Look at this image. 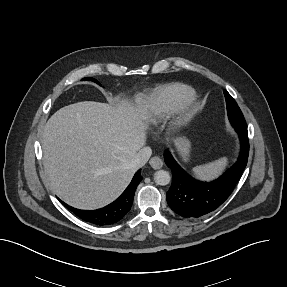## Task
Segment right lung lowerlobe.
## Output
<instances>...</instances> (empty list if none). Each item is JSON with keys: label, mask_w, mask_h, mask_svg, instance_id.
I'll list each match as a JSON object with an SVG mask.
<instances>
[{"label": "right lung lower lobe", "mask_w": 287, "mask_h": 287, "mask_svg": "<svg viewBox=\"0 0 287 287\" xmlns=\"http://www.w3.org/2000/svg\"><path fill=\"white\" fill-rule=\"evenodd\" d=\"M140 171H137L134 175L131 183L125 189L121 196H119L114 202L111 204L97 210H79L73 207L68 206L64 202H62L70 211H72L77 217L82 220L103 226V225H111L120 221L127 212L131 209L133 198L135 194V190L142 180V176Z\"/></svg>", "instance_id": "right-lung-lower-lobe-1"}]
</instances>
